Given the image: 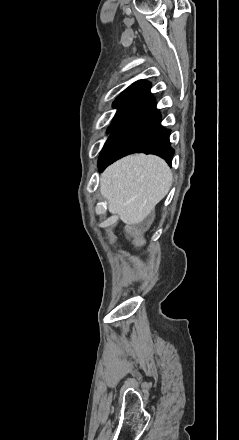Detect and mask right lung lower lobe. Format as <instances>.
Instances as JSON below:
<instances>
[{
	"mask_svg": "<svg viewBox=\"0 0 239 440\" xmlns=\"http://www.w3.org/2000/svg\"><path fill=\"white\" fill-rule=\"evenodd\" d=\"M160 122L161 115L150 92L130 102L101 152L100 171L131 153L155 154L171 165L174 150L169 142L170 130Z\"/></svg>",
	"mask_w": 239,
	"mask_h": 440,
	"instance_id": "right-lung-lower-lobe-1",
	"label": "right lung lower lobe"
}]
</instances>
